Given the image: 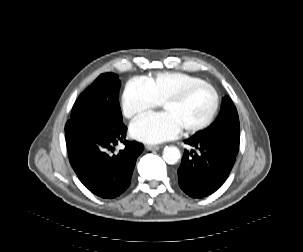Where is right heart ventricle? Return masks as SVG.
I'll return each mask as SVG.
<instances>
[{
    "instance_id": "obj_1",
    "label": "right heart ventricle",
    "mask_w": 303,
    "mask_h": 252,
    "mask_svg": "<svg viewBox=\"0 0 303 252\" xmlns=\"http://www.w3.org/2000/svg\"><path fill=\"white\" fill-rule=\"evenodd\" d=\"M190 78H155L147 81V89L153 100L157 103H163L172 97H176L192 83Z\"/></svg>"
}]
</instances>
